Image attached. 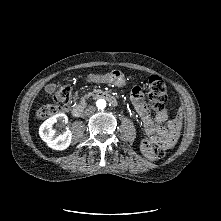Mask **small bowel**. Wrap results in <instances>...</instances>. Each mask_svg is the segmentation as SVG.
Wrapping results in <instances>:
<instances>
[{"label":"small bowel","mask_w":221,"mask_h":221,"mask_svg":"<svg viewBox=\"0 0 221 221\" xmlns=\"http://www.w3.org/2000/svg\"><path fill=\"white\" fill-rule=\"evenodd\" d=\"M131 99L143 123L146 134V138L143 139L141 143L143 154L146 157H151L150 150L153 144L167 142V147H171L178 137L182 122V114L178 113L175 119L167 121L168 111L164 107L162 110L157 111L153 118L145 105L139 87L133 88Z\"/></svg>","instance_id":"small-bowel-1"}]
</instances>
